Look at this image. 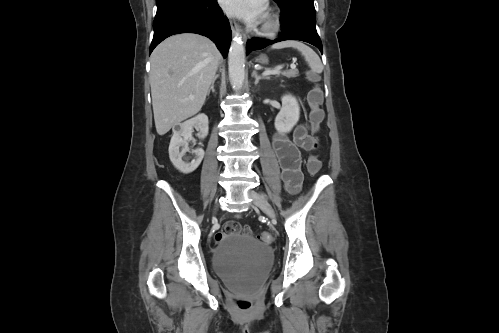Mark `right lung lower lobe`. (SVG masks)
Returning a JSON list of instances; mask_svg holds the SVG:
<instances>
[{"instance_id":"obj_1","label":"right lung lower lobe","mask_w":499,"mask_h":333,"mask_svg":"<svg viewBox=\"0 0 499 333\" xmlns=\"http://www.w3.org/2000/svg\"><path fill=\"white\" fill-rule=\"evenodd\" d=\"M153 28L150 53L171 35L197 33L210 38L226 58L232 36L217 0H162L157 4Z\"/></svg>"}]
</instances>
